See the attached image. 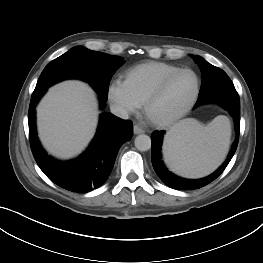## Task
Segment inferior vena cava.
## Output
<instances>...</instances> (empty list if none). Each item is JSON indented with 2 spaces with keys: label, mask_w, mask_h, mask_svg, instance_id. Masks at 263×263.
I'll return each instance as SVG.
<instances>
[{
  "label": "inferior vena cava",
  "mask_w": 263,
  "mask_h": 263,
  "mask_svg": "<svg viewBox=\"0 0 263 263\" xmlns=\"http://www.w3.org/2000/svg\"><path fill=\"white\" fill-rule=\"evenodd\" d=\"M110 111L112 114H114V115H116L122 119H128L129 118L127 111L118 105H111Z\"/></svg>",
  "instance_id": "inferior-vena-cava-1"
}]
</instances>
